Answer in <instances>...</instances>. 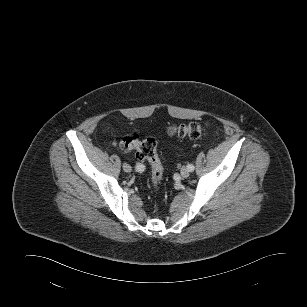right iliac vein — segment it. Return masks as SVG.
<instances>
[{
	"mask_svg": "<svg viewBox=\"0 0 307 307\" xmlns=\"http://www.w3.org/2000/svg\"><path fill=\"white\" fill-rule=\"evenodd\" d=\"M123 170L128 173L132 171V167L129 164L125 163L123 164Z\"/></svg>",
	"mask_w": 307,
	"mask_h": 307,
	"instance_id": "1",
	"label": "right iliac vein"
}]
</instances>
